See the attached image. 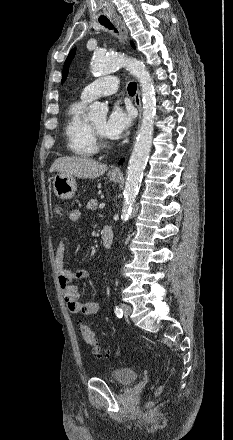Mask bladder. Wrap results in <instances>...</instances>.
Returning a JSON list of instances; mask_svg holds the SVG:
<instances>
[{"instance_id": "obj_1", "label": "bladder", "mask_w": 233, "mask_h": 440, "mask_svg": "<svg viewBox=\"0 0 233 440\" xmlns=\"http://www.w3.org/2000/svg\"><path fill=\"white\" fill-rule=\"evenodd\" d=\"M137 377L138 371L132 368H116L109 375V379L120 386L132 384Z\"/></svg>"}]
</instances>
